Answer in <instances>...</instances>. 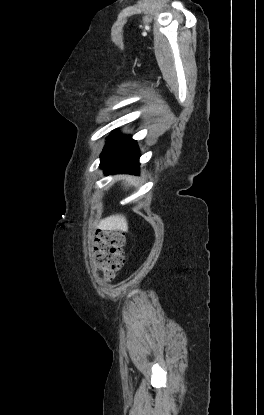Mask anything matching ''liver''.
<instances>
[{
	"label": "liver",
	"instance_id": "6515ba94",
	"mask_svg": "<svg viewBox=\"0 0 264 415\" xmlns=\"http://www.w3.org/2000/svg\"><path fill=\"white\" fill-rule=\"evenodd\" d=\"M125 179V183L128 185H131L132 177L127 176L123 177ZM98 227L101 230H109V231H127L128 230V223L125 218V216L121 214L111 215L109 217H106L105 219L101 220L98 224Z\"/></svg>",
	"mask_w": 264,
	"mask_h": 415
}]
</instances>
